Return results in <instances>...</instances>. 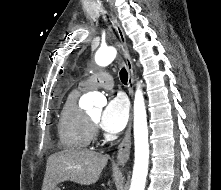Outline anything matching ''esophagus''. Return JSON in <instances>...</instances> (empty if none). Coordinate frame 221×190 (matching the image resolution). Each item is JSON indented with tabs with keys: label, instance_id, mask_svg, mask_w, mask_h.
<instances>
[{
	"label": "esophagus",
	"instance_id": "34e87169",
	"mask_svg": "<svg viewBox=\"0 0 221 190\" xmlns=\"http://www.w3.org/2000/svg\"><path fill=\"white\" fill-rule=\"evenodd\" d=\"M113 22L115 24V28L117 31V34L119 36L123 54L126 60L127 70H128V87H129V94L131 97H133V84H134V74H133V64L132 60L129 54L128 45L126 42V37L124 34V31L116 19V17L111 13ZM131 127H132V113L130 115L129 124L125 133V136L120 143L117 151V163L121 166H123L129 159L130 156V150H131Z\"/></svg>",
	"mask_w": 221,
	"mask_h": 190
}]
</instances>
